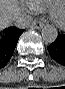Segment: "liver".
I'll return each mask as SVG.
<instances>
[{"instance_id": "6515ba94", "label": "liver", "mask_w": 65, "mask_h": 89, "mask_svg": "<svg viewBox=\"0 0 65 89\" xmlns=\"http://www.w3.org/2000/svg\"><path fill=\"white\" fill-rule=\"evenodd\" d=\"M21 14L19 2L16 0H0V29L4 30Z\"/></svg>"}]
</instances>
